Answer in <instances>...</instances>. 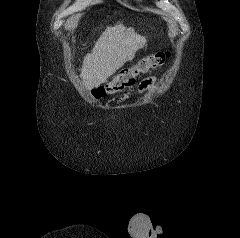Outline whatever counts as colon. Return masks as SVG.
Segmentation results:
<instances>
[{
  "label": "colon",
  "mask_w": 240,
  "mask_h": 238,
  "mask_svg": "<svg viewBox=\"0 0 240 238\" xmlns=\"http://www.w3.org/2000/svg\"><path fill=\"white\" fill-rule=\"evenodd\" d=\"M169 56V52H158L146 56L139 60L136 64L119 71L113 80L105 85H101L93 89L92 93L95 97L100 98L129 88L135 84L136 78L139 75L162 66Z\"/></svg>",
  "instance_id": "5ec220e1"
}]
</instances>
